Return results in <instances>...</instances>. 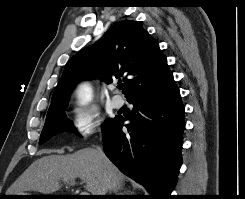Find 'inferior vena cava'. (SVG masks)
Here are the masks:
<instances>
[{
  "instance_id": "1",
  "label": "inferior vena cava",
  "mask_w": 245,
  "mask_h": 199,
  "mask_svg": "<svg viewBox=\"0 0 245 199\" xmlns=\"http://www.w3.org/2000/svg\"><path fill=\"white\" fill-rule=\"evenodd\" d=\"M97 152L98 154L104 159L105 158V154L102 150V148L100 146L97 147ZM110 190L109 184H108V180H106L105 186L102 189V193H100V195H108L107 192Z\"/></svg>"
}]
</instances>
